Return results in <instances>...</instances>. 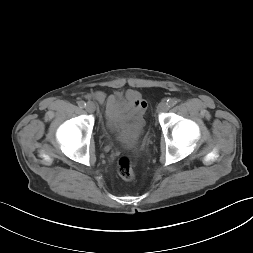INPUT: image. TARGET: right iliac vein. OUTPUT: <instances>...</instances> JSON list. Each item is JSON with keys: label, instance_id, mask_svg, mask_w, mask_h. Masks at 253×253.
Wrapping results in <instances>:
<instances>
[{"label": "right iliac vein", "instance_id": "obj_1", "mask_svg": "<svg viewBox=\"0 0 253 253\" xmlns=\"http://www.w3.org/2000/svg\"><path fill=\"white\" fill-rule=\"evenodd\" d=\"M87 112L92 113L95 111V105L92 102H88L85 106Z\"/></svg>", "mask_w": 253, "mask_h": 253}]
</instances>
